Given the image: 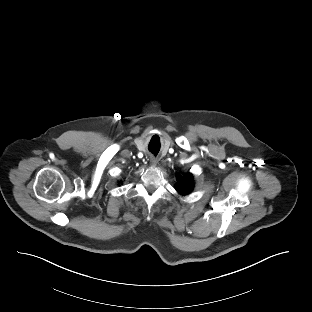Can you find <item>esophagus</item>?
Segmentation results:
<instances>
[{
  "label": "esophagus",
  "mask_w": 312,
  "mask_h": 312,
  "mask_svg": "<svg viewBox=\"0 0 312 312\" xmlns=\"http://www.w3.org/2000/svg\"><path fill=\"white\" fill-rule=\"evenodd\" d=\"M157 159L155 158V157H151L150 158V164L152 165V166H155L156 164H157Z\"/></svg>",
  "instance_id": "esophagus-1"
}]
</instances>
